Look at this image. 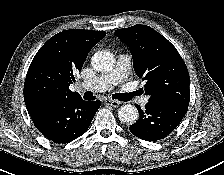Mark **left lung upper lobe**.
I'll return each instance as SVG.
<instances>
[{
    "instance_id": "1",
    "label": "left lung upper lobe",
    "mask_w": 224,
    "mask_h": 175,
    "mask_svg": "<svg viewBox=\"0 0 224 175\" xmlns=\"http://www.w3.org/2000/svg\"><path fill=\"white\" fill-rule=\"evenodd\" d=\"M130 48L136 75L146 80L149 101L188 106L189 74L176 48L160 33L146 25L115 31Z\"/></svg>"
}]
</instances>
